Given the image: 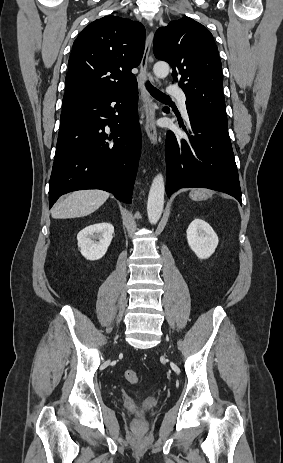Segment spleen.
Returning a JSON list of instances; mask_svg holds the SVG:
<instances>
[{"label":"spleen","mask_w":283,"mask_h":463,"mask_svg":"<svg viewBox=\"0 0 283 463\" xmlns=\"http://www.w3.org/2000/svg\"><path fill=\"white\" fill-rule=\"evenodd\" d=\"M204 190H206V189H204ZM206 191H207V197H206V198H208L209 196H211V195H212V192H211V191H209V190H206Z\"/></svg>","instance_id":"3e777b00"}]
</instances>
